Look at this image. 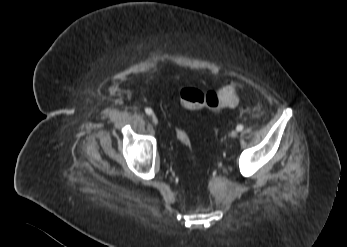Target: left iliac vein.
<instances>
[{
  "label": "left iliac vein",
  "instance_id": "4c4485c4",
  "mask_svg": "<svg viewBox=\"0 0 347 247\" xmlns=\"http://www.w3.org/2000/svg\"><path fill=\"white\" fill-rule=\"evenodd\" d=\"M238 136V132L236 131V130H233L232 132H231V137L232 138H236Z\"/></svg>",
  "mask_w": 347,
  "mask_h": 247
}]
</instances>
